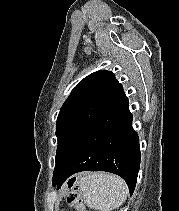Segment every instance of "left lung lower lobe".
<instances>
[{
  "label": "left lung lower lobe",
  "instance_id": "0a47b994",
  "mask_svg": "<svg viewBox=\"0 0 179 211\" xmlns=\"http://www.w3.org/2000/svg\"><path fill=\"white\" fill-rule=\"evenodd\" d=\"M132 120L128 98L122 91L98 117L66 169L53 175V186L60 188L77 172L107 171L121 176L132 195L140 167L139 138Z\"/></svg>",
  "mask_w": 179,
  "mask_h": 211
}]
</instances>
